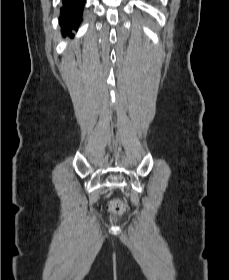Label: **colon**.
<instances>
[{"label":"colon","mask_w":229,"mask_h":280,"mask_svg":"<svg viewBox=\"0 0 229 280\" xmlns=\"http://www.w3.org/2000/svg\"><path fill=\"white\" fill-rule=\"evenodd\" d=\"M110 208L115 214L118 215H124L127 212L126 204L120 199H113L110 202Z\"/></svg>","instance_id":"obj_1"}]
</instances>
